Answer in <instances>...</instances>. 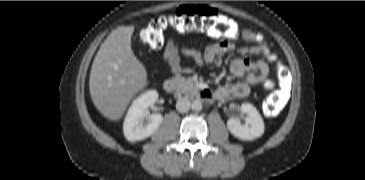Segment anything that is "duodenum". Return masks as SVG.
<instances>
[{"label":"duodenum","mask_w":365,"mask_h":180,"mask_svg":"<svg viewBox=\"0 0 365 180\" xmlns=\"http://www.w3.org/2000/svg\"><path fill=\"white\" fill-rule=\"evenodd\" d=\"M177 85L178 81L174 79H167L163 83V88L167 92H173L177 88ZM192 89L194 90L197 98L202 102L208 103L214 98L212 91L207 88L192 87Z\"/></svg>","instance_id":"duodenum-1"}]
</instances>
